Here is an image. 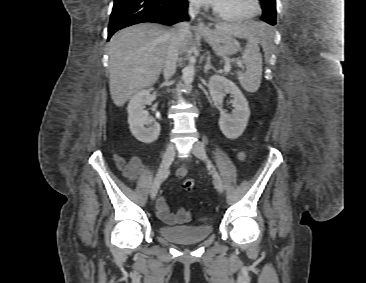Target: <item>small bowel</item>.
Wrapping results in <instances>:
<instances>
[{
    "mask_svg": "<svg viewBox=\"0 0 366 283\" xmlns=\"http://www.w3.org/2000/svg\"><path fill=\"white\" fill-rule=\"evenodd\" d=\"M117 168L122 172L123 176L133 182L137 180L143 172V165L139 156H132L128 162L121 156H114ZM187 172L185 166H181L176 170V176L181 178ZM158 217L167 224H182L189 220L190 214L184 209H179L176 213H171L166 201L163 197H159L156 202Z\"/></svg>",
    "mask_w": 366,
    "mask_h": 283,
    "instance_id": "small-bowel-1",
    "label": "small bowel"
}]
</instances>
